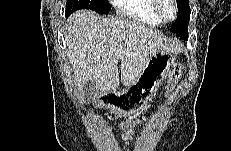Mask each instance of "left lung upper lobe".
I'll return each instance as SVG.
<instances>
[{"instance_id":"left-lung-upper-lobe-1","label":"left lung upper lobe","mask_w":231,"mask_h":151,"mask_svg":"<svg viewBox=\"0 0 231 151\" xmlns=\"http://www.w3.org/2000/svg\"><path fill=\"white\" fill-rule=\"evenodd\" d=\"M178 14L177 20L171 27V32L175 33L180 38L188 36V24L190 18L189 0H177Z\"/></svg>"}]
</instances>
